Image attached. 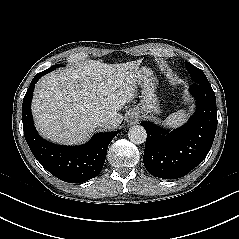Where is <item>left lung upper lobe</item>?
I'll use <instances>...</instances> for the list:
<instances>
[{"mask_svg": "<svg viewBox=\"0 0 239 239\" xmlns=\"http://www.w3.org/2000/svg\"><path fill=\"white\" fill-rule=\"evenodd\" d=\"M185 66L187 71L191 75V78L194 80V84L210 85V83L207 80V77L205 76L204 72L201 69L195 67L189 62H186Z\"/></svg>", "mask_w": 239, "mask_h": 239, "instance_id": "1", "label": "left lung upper lobe"}]
</instances>
